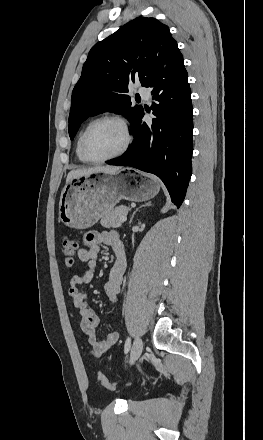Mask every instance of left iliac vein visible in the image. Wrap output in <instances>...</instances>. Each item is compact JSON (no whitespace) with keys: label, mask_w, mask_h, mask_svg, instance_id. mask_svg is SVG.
I'll list each match as a JSON object with an SVG mask.
<instances>
[{"label":"left iliac vein","mask_w":263,"mask_h":440,"mask_svg":"<svg viewBox=\"0 0 263 440\" xmlns=\"http://www.w3.org/2000/svg\"><path fill=\"white\" fill-rule=\"evenodd\" d=\"M143 350V342L140 337H137L132 345L129 364H133L141 355Z\"/></svg>","instance_id":"obj_1"}]
</instances>
